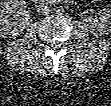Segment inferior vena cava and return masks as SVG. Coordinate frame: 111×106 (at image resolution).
Segmentation results:
<instances>
[{
	"instance_id": "602c4592",
	"label": "inferior vena cava",
	"mask_w": 111,
	"mask_h": 106,
	"mask_svg": "<svg viewBox=\"0 0 111 106\" xmlns=\"http://www.w3.org/2000/svg\"><path fill=\"white\" fill-rule=\"evenodd\" d=\"M37 11L39 14L45 15L50 12V7L45 3H40Z\"/></svg>"
}]
</instances>
